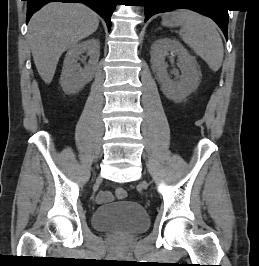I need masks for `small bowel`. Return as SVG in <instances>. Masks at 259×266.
<instances>
[{
    "label": "small bowel",
    "instance_id": "c3829d8e",
    "mask_svg": "<svg viewBox=\"0 0 259 266\" xmlns=\"http://www.w3.org/2000/svg\"><path fill=\"white\" fill-rule=\"evenodd\" d=\"M96 202L99 204L107 203L113 200V195L109 191H101L96 195Z\"/></svg>",
    "mask_w": 259,
    "mask_h": 266
}]
</instances>
